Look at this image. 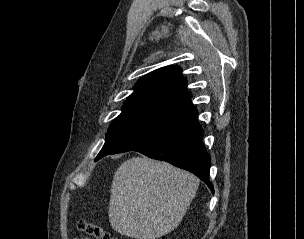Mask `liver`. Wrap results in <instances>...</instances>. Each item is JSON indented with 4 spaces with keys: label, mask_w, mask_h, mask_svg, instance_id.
I'll use <instances>...</instances> for the list:
<instances>
[{
    "label": "liver",
    "mask_w": 304,
    "mask_h": 239,
    "mask_svg": "<svg viewBox=\"0 0 304 239\" xmlns=\"http://www.w3.org/2000/svg\"><path fill=\"white\" fill-rule=\"evenodd\" d=\"M198 185L196 176L167 162L131 158L113 177L111 227L131 238H160L182 221Z\"/></svg>",
    "instance_id": "obj_1"
}]
</instances>
